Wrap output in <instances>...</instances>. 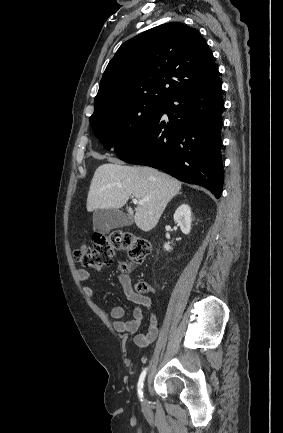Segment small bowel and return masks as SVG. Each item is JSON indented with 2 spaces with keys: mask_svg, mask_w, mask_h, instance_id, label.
<instances>
[{
  "mask_svg": "<svg viewBox=\"0 0 283 433\" xmlns=\"http://www.w3.org/2000/svg\"><path fill=\"white\" fill-rule=\"evenodd\" d=\"M77 277L80 281L86 282L90 279V273L84 269H80L77 272ZM121 286L127 298L136 304L133 310L131 320H123L125 316V309L121 305H114L111 308L110 315L113 319V328L120 333H126L129 335L136 334L139 330L143 320V310L149 311V325L146 333L136 334L134 336V342L140 347H145L153 342L158 334V319L156 314L152 311V301L150 297L142 293L136 292L133 287L130 278L124 276L120 279ZM86 296L92 297L94 295V288L91 285H87L83 288Z\"/></svg>",
  "mask_w": 283,
  "mask_h": 433,
  "instance_id": "1",
  "label": "small bowel"
}]
</instances>
